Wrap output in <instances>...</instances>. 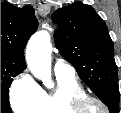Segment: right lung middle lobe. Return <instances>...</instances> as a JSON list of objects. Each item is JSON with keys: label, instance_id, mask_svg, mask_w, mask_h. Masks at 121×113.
<instances>
[{"label": "right lung middle lobe", "instance_id": "dd1d6c3e", "mask_svg": "<svg viewBox=\"0 0 121 113\" xmlns=\"http://www.w3.org/2000/svg\"><path fill=\"white\" fill-rule=\"evenodd\" d=\"M25 69L22 64L1 57V113H11L9 106V87L15 76Z\"/></svg>", "mask_w": 121, "mask_h": 113}]
</instances>
